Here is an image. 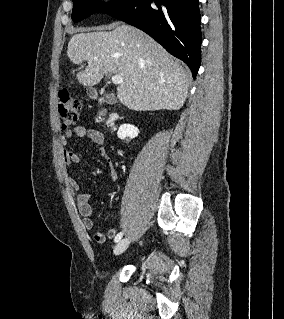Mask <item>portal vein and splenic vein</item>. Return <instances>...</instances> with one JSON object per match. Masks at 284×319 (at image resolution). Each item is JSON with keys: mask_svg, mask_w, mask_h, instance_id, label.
<instances>
[{"mask_svg": "<svg viewBox=\"0 0 284 319\" xmlns=\"http://www.w3.org/2000/svg\"><path fill=\"white\" fill-rule=\"evenodd\" d=\"M111 80H112V83L116 85L123 83V78L119 75H113Z\"/></svg>", "mask_w": 284, "mask_h": 319, "instance_id": "1", "label": "portal vein and splenic vein"}]
</instances>
